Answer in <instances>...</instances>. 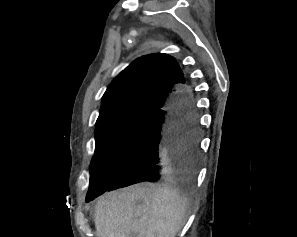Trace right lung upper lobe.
<instances>
[{"instance_id": "cb5924a9", "label": "right lung upper lobe", "mask_w": 297, "mask_h": 237, "mask_svg": "<svg viewBox=\"0 0 297 237\" xmlns=\"http://www.w3.org/2000/svg\"><path fill=\"white\" fill-rule=\"evenodd\" d=\"M184 86V74L172 56H142L108 86L95 125L128 115H151L165 108L171 95Z\"/></svg>"}]
</instances>
